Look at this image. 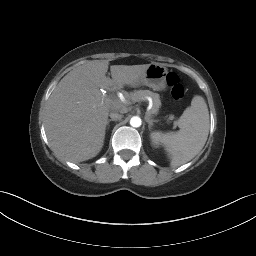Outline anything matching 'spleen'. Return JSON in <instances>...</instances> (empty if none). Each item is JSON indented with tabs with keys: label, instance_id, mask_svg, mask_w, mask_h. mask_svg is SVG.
<instances>
[{
	"label": "spleen",
	"instance_id": "obj_1",
	"mask_svg": "<svg viewBox=\"0 0 256 256\" xmlns=\"http://www.w3.org/2000/svg\"><path fill=\"white\" fill-rule=\"evenodd\" d=\"M180 130L168 133L163 142L171 167L193 159L204 147L209 133V111L202 96H194L179 120Z\"/></svg>",
	"mask_w": 256,
	"mask_h": 256
}]
</instances>
